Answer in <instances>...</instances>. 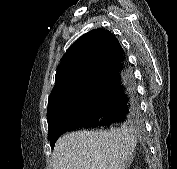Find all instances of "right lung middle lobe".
<instances>
[{
    "label": "right lung middle lobe",
    "mask_w": 177,
    "mask_h": 169,
    "mask_svg": "<svg viewBox=\"0 0 177 169\" xmlns=\"http://www.w3.org/2000/svg\"><path fill=\"white\" fill-rule=\"evenodd\" d=\"M92 97L91 82H85L64 99L53 103L47 109L48 139L65 119L82 111Z\"/></svg>",
    "instance_id": "right-lung-middle-lobe-1"
}]
</instances>
